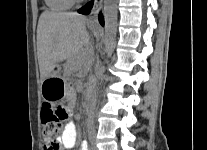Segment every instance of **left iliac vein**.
Instances as JSON below:
<instances>
[{
	"label": "left iliac vein",
	"mask_w": 207,
	"mask_h": 150,
	"mask_svg": "<svg viewBox=\"0 0 207 150\" xmlns=\"http://www.w3.org/2000/svg\"><path fill=\"white\" fill-rule=\"evenodd\" d=\"M90 150H98L94 142H92Z\"/></svg>",
	"instance_id": "obj_1"
}]
</instances>
